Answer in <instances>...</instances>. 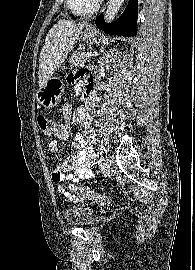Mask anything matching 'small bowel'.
Segmentation results:
<instances>
[{"mask_svg":"<svg viewBox=\"0 0 195 270\" xmlns=\"http://www.w3.org/2000/svg\"><path fill=\"white\" fill-rule=\"evenodd\" d=\"M77 79H86L87 84L93 82V75L90 72L70 75L68 80L73 83ZM97 106V98L94 95L91 102L81 105L77 108L76 119L80 125V132L76 133L72 147L74 152L67 155L63 160L58 161L52 170V180L58 186L60 194L74 202H80L84 199L78 193L76 184L83 180H93L96 175L92 170L95 163V154L93 143L95 141L94 130L92 127L93 118ZM63 120L56 124L53 132L54 136L49 142V149L52 153H57L59 143L68 139L71 133V122L73 118V108L70 103H65L62 108ZM64 183L69 184V190L63 187Z\"/></svg>","mask_w":195,"mask_h":270,"instance_id":"obj_1","label":"small bowel"}]
</instances>
